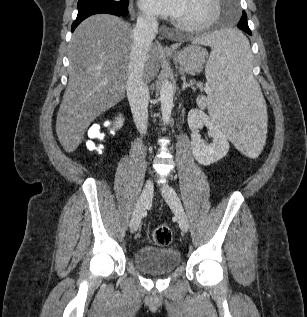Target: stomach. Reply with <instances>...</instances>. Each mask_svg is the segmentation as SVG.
<instances>
[{
  "label": "stomach",
  "mask_w": 307,
  "mask_h": 317,
  "mask_svg": "<svg viewBox=\"0 0 307 317\" xmlns=\"http://www.w3.org/2000/svg\"><path fill=\"white\" fill-rule=\"evenodd\" d=\"M190 75L200 74L207 60V52L200 46H189L170 56Z\"/></svg>",
  "instance_id": "1"
}]
</instances>
